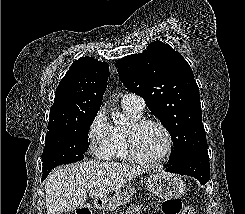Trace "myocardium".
I'll return each instance as SVG.
<instances>
[{
	"label": "myocardium",
	"mask_w": 245,
	"mask_h": 214,
	"mask_svg": "<svg viewBox=\"0 0 245 214\" xmlns=\"http://www.w3.org/2000/svg\"><path fill=\"white\" fill-rule=\"evenodd\" d=\"M150 125L157 126L158 128H160L164 132L167 139V146L164 152L159 157L153 159L143 156L140 153L136 144L137 133L141 129ZM125 140H126L128 152L132 157V159L144 165H155L157 163L162 162L171 154L174 146L173 137L170 130L160 121L152 120V119H139L136 121H132L129 124V126L126 128Z\"/></svg>",
	"instance_id": "f54148a6"
}]
</instances>
